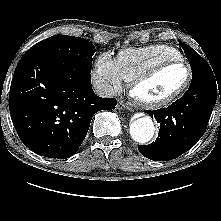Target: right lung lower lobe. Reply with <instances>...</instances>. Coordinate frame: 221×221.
<instances>
[{"label": "right lung lower lobe", "mask_w": 221, "mask_h": 221, "mask_svg": "<svg viewBox=\"0 0 221 221\" xmlns=\"http://www.w3.org/2000/svg\"><path fill=\"white\" fill-rule=\"evenodd\" d=\"M116 104L115 98L94 93L89 73L36 51H27L18 62L9 94L12 122L23 144L57 159L74 155L93 115Z\"/></svg>", "instance_id": "obj_1"}]
</instances>
